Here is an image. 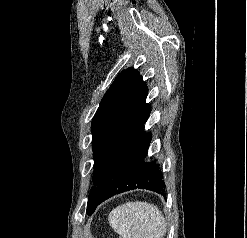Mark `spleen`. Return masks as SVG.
<instances>
[{
    "mask_svg": "<svg viewBox=\"0 0 247 238\" xmlns=\"http://www.w3.org/2000/svg\"><path fill=\"white\" fill-rule=\"evenodd\" d=\"M110 226L122 238H162L166 222L157 206L147 202H127L108 217Z\"/></svg>",
    "mask_w": 247,
    "mask_h": 238,
    "instance_id": "obj_1",
    "label": "spleen"
}]
</instances>
